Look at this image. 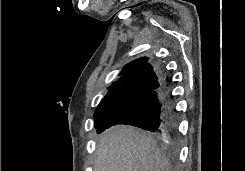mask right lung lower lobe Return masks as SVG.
<instances>
[{
	"label": "right lung lower lobe",
	"instance_id": "1",
	"mask_svg": "<svg viewBox=\"0 0 245 171\" xmlns=\"http://www.w3.org/2000/svg\"><path fill=\"white\" fill-rule=\"evenodd\" d=\"M163 85L156 91L122 100L97 127L100 133L116 124H129L155 133L166 144L176 138L177 116L169 82L162 72Z\"/></svg>",
	"mask_w": 245,
	"mask_h": 171
}]
</instances>
